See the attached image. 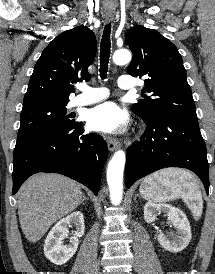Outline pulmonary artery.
Instances as JSON below:
<instances>
[{"label":"pulmonary artery","mask_w":215,"mask_h":274,"mask_svg":"<svg viewBox=\"0 0 215 274\" xmlns=\"http://www.w3.org/2000/svg\"><path fill=\"white\" fill-rule=\"evenodd\" d=\"M118 86L124 90H130L134 87L133 79L128 75H122L118 78ZM81 93L71 102L72 106H85L97 103L106 99L109 92L104 87H90L87 85L80 86Z\"/></svg>","instance_id":"obj_1"}]
</instances>
